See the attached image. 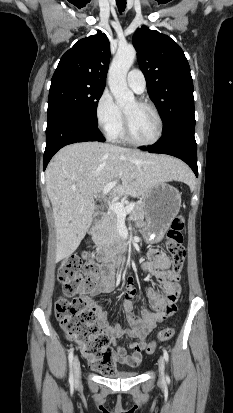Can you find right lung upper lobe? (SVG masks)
I'll return each instance as SVG.
<instances>
[{
    "instance_id": "1",
    "label": "right lung upper lobe",
    "mask_w": 233,
    "mask_h": 413,
    "mask_svg": "<svg viewBox=\"0 0 233 413\" xmlns=\"http://www.w3.org/2000/svg\"><path fill=\"white\" fill-rule=\"evenodd\" d=\"M110 59L107 36L101 32L79 40L61 57L52 83L76 81L104 87Z\"/></svg>"
}]
</instances>
